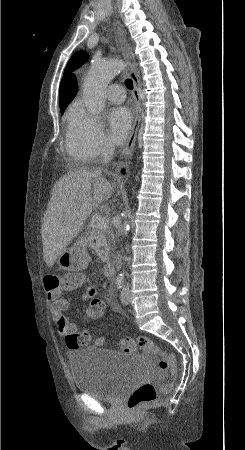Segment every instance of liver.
<instances>
[{
	"instance_id": "1",
	"label": "liver",
	"mask_w": 245,
	"mask_h": 450,
	"mask_svg": "<svg viewBox=\"0 0 245 450\" xmlns=\"http://www.w3.org/2000/svg\"><path fill=\"white\" fill-rule=\"evenodd\" d=\"M113 187L100 169H75L55 183L41 226L43 256L49 268L77 237L92 211L110 198Z\"/></svg>"
}]
</instances>
